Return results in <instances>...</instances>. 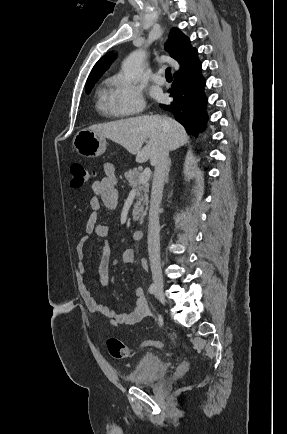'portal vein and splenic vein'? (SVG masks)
<instances>
[{
  "instance_id": "obj_1",
  "label": "portal vein and splenic vein",
  "mask_w": 287,
  "mask_h": 434,
  "mask_svg": "<svg viewBox=\"0 0 287 434\" xmlns=\"http://www.w3.org/2000/svg\"><path fill=\"white\" fill-rule=\"evenodd\" d=\"M150 176H151L150 168H145L138 179V184H143L148 182Z\"/></svg>"
}]
</instances>
